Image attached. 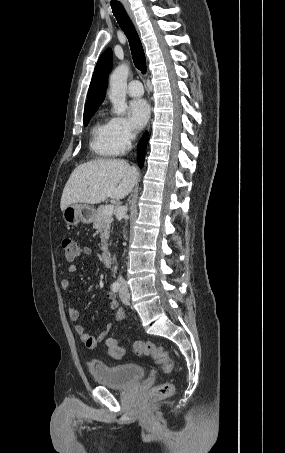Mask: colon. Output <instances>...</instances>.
<instances>
[{"instance_id":"1","label":"colon","mask_w":285,"mask_h":453,"mask_svg":"<svg viewBox=\"0 0 285 453\" xmlns=\"http://www.w3.org/2000/svg\"><path fill=\"white\" fill-rule=\"evenodd\" d=\"M62 248L65 258L72 261L77 258L81 252L80 244L72 237H65L62 240ZM106 345L109 354L115 359H121L124 356V349L120 346L116 339L108 338ZM133 352L136 355H144L151 357L165 373L174 371V363L168 353L160 346L150 341L136 340L131 342ZM174 390V385L171 382L162 383L152 388L148 396L150 398L162 399L169 397Z\"/></svg>"}]
</instances>
